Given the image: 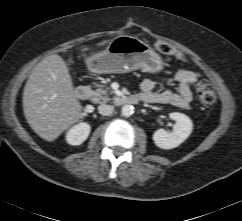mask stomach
Here are the masks:
<instances>
[{"mask_svg":"<svg viewBox=\"0 0 242 221\" xmlns=\"http://www.w3.org/2000/svg\"><path fill=\"white\" fill-rule=\"evenodd\" d=\"M89 71L96 74L126 73L140 69L159 73L164 68L160 55L136 37L121 35L114 38L103 51L87 59Z\"/></svg>","mask_w":242,"mask_h":221,"instance_id":"1","label":"stomach"}]
</instances>
